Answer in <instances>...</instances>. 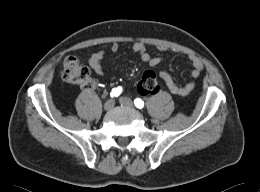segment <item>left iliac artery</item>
I'll list each match as a JSON object with an SVG mask.
<instances>
[{
	"label": "left iliac artery",
	"mask_w": 260,
	"mask_h": 192,
	"mask_svg": "<svg viewBox=\"0 0 260 192\" xmlns=\"http://www.w3.org/2000/svg\"><path fill=\"white\" fill-rule=\"evenodd\" d=\"M134 104L137 108H140V109L144 107V102L139 98L134 100Z\"/></svg>",
	"instance_id": "1"
}]
</instances>
